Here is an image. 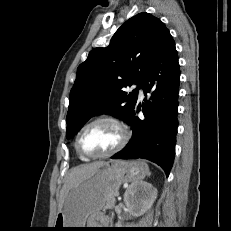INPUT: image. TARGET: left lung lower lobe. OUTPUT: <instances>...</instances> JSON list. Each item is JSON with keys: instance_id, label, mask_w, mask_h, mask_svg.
<instances>
[{"instance_id": "1", "label": "left lung lower lobe", "mask_w": 231, "mask_h": 231, "mask_svg": "<svg viewBox=\"0 0 231 231\" xmlns=\"http://www.w3.org/2000/svg\"><path fill=\"white\" fill-rule=\"evenodd\" d=\"M180 67L174 40L167 34L157 56L141 78L149 100L142 105L144 120L135 107L127 123L133 129L129 143L112 159L143 158L155 162L168 176L172 168L177 133L178 88ZM146 101V98L144 99Z\"/></svg>"}]
</instances>
